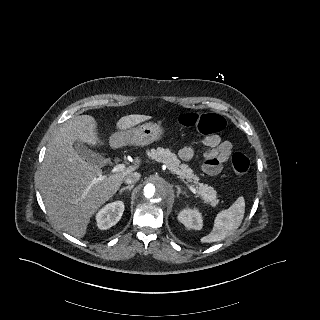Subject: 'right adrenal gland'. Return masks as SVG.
Listing matches in <instances>:
<instances>
[{
	"label": "right adrenal gland",
	"instance_id": "2a0ac1e0",
	"mask_svg": "<svg viewBox=\"0 0 320 320\" xmlns=\"http://www.w3.org/2000/svg\"><path fill=\"white\" fill-rule=\"evenodd\" d=\"M133 187H134V185L132 184V185H128V186H126L124 188H121L120 191H119V194H122L125 190H129L130 191Z\"/></svg>",
	"mask_w": 320,
	"mask_h": 320
}]
</instances>
